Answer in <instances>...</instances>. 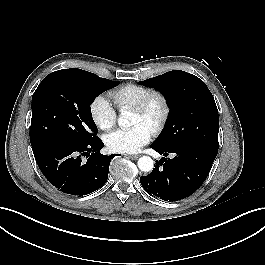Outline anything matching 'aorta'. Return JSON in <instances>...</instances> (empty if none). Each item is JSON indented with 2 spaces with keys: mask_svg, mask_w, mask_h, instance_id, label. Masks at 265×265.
<instances>
[{
  "mask_svg": "<svg viewBox=\"0 0 265 265\" xmlns=\"http://www.w3.org/2000/svg\"><path fill=\"white\" fill-rule=\"evenodd\" d=\"M118 125L122 129H126L130 126V122L127 119V113L122 112L120 117L118 118ZM138 168L143 172H150L153 170L154 167V161L149 156H143L139 158L138 162Z\"/></svg>",
  "mask_w": 265,
  "mask_h": 265,
  "instance_id": "1",
  "label": "aorta"
}]
</instances>
